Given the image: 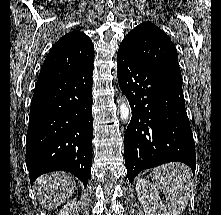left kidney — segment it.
Segmentation results:
<instances>
[{"label": "left kidney", "mask_w": 221, "mask_h": 215, "mask_svg": "<svg viewBox=\"0 0 221 215\" xmlns=\"http://www.w3.org/2000/svg\"><path fill=\"white\" fill-rule=\"evenodd\" d=\"M136 192L145 215H170L159 196L158 190L149 180L138 178L136 180Z\"/></svg>", "instance_id": "5707ae66"}]
</instances>
